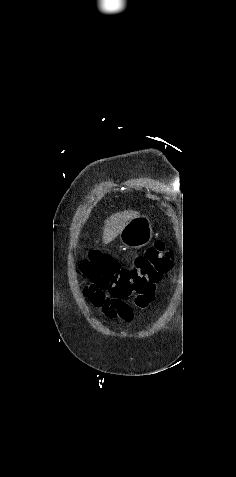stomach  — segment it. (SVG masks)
Wrapping results in <instances>:
<instances>
[{
	"mask_svg": "<svg viewBox=\"0 0 236 477\" xmlns=\"http://www.w3.org/2000/svg\"><path fill=\"white\" fill-rule=\"evenodd\" d=\"M153 236L152 224L144 216H137L120 233L121 243L130 249H139L147 245Z\"/></svg>",
	"mask_w": 236,
	"mask_h": 477,
	"instance_id": "stomach-1",
	"label": "stomach"
}]
</instances>
